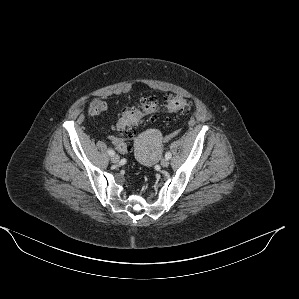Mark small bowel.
<instances>
[{"label": "small bowel", "instance_id": "c3829d8e", "mask_svg": "<svg viewBox=\"0 0 299 299\" xmlns=\"http://www.w3.org/2000/svg\"><path fill=\"white\" fill-rule=\"evenodd\" d=\"M109 139H110V141H111L116 147H117V143H118L119 141H124V142H125V139L120 138V137H117V136H110ZM120 152H121V151H120ZM121 153H123V152H121Z\"/></svg>", "mask_w": 299, "mask_h": 299}]
</instances>
